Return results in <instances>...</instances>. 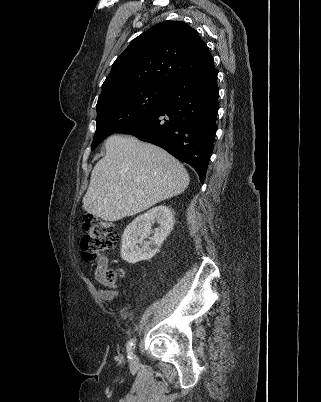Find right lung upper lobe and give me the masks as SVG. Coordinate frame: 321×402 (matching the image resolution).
Instances as JSON below:
<instances>
[{
	"label": "right lung upper lobe",
	"instance_id": "1",
	"mask_svg": "<svg viewBox=\"0 0 321 402\" xmlns=\"http://www.w3.org/2000/svg\"><path fill=\"white\" fill-rule=\"evenodd\" d=\"M214 63L206 43L184 22L164 21L135 38L113 63L98 102L121 91L172 82Z\"/></svg>",
	"mask_w": 321,
	"mask_h": 402
}]
</instances>
